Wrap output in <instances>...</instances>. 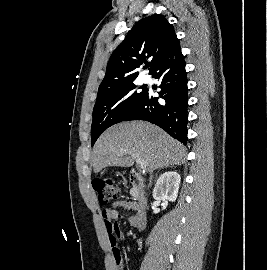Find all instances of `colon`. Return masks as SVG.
<instances>
[{
    "mask_svg": "<svg viewBox=\"0 0 267 270\" xmlns=\"http://www.w3.org/2000/svg\"><path fill=\"white\" fill-rule=\"evenodd\" d=\"M93 186L98 194V199L101 204H107L112 200L117 199L120 196V188L115 182L107 177H99L94 180ZM115 258L117 266L121 268L122 261L121 255L118 249H115Z\"/></svg>",
    "mask_w": 267,
    "mask_h": 270,
    "instance_id": "colon-1",
    "label": "colon"
}]
</instances>
